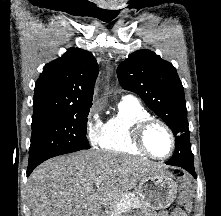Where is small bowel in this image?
<instances>
[{"instance_id":"c3829d8e","label":"small bowel","mask_w":221,"mask_h":216,"mask_svg":"<svg viewBox=\"0 0 221 216\" xmlns=\"http://www.w3.org/2000/svg\"><path fill=\"white\" fill-rule=\"evenodd\" d=\"M187 210H190V206L186 207ZM162 216H187V214L182 210H173L171 213H165Z\"/></svg>"}]
</instances>
